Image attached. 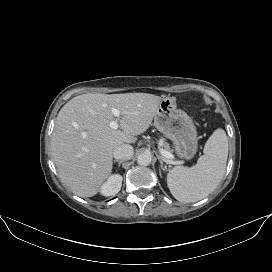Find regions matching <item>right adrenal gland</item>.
<instances>
[{
  "label": "right adrenal gland",
  "mask_w": 272,
  "mask_h": 272,
  "mask_svg": "<svg viewBox=\"0 0 272 272\" xmlns=\"http://www.w3.org/2000/svg\"><path fill=\"white\" fill-rule=\"evenodd\" d=\"M118 163V166L120 167V165L124 162V161H117V160H114V163Z\"/></svg>",
  "instance_id": "obj_1"
}]
</instances>
